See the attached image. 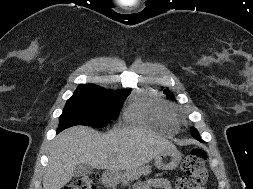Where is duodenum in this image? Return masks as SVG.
Listing matches in <instances>:
<instances>
[{"label": "duodenum", "instance_id": "1", "mask_svg": "<svg viewBox=\"0 0 253 189\" xmlns=\"http://www.w3.org/2000/svg\"><path fill=\"white\" fill-rule=\"evenodd\" d=\"M114 182V174L111 171H106L103 175V183L106 186H111Z\"/></svg>", "mask_w": 253, "mask_h": 189}]
</instances>
